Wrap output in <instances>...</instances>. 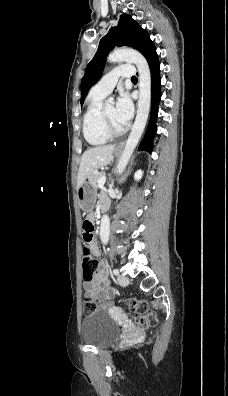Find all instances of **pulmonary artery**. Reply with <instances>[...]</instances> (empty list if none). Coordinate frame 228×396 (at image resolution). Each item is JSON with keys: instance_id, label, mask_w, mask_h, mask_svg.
Instances as JSON below:
<instances>
[{"instance_id": "e3ab8cb5", "label": "pulmonary artery", "mask_w": 228, "mask_h": 396, "mask_svg": "<svg viewBox=\"0 0 228 396\" xmlns=\"http://www.w3.org/2000/svg\"><path fill=\"white\" fill-rule=\"evenodd\" d=\"M134 75V68L130 65H120L114 70L104 75L92 88L91 92L95 95L106 96L108 95L119 78H131Z\"/></svg>"}]
</instances>
